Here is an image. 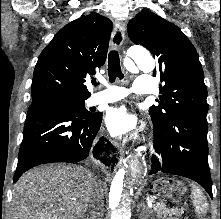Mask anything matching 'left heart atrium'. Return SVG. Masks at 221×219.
<instances>
[{"mask_svg": "<svg viewBox=\"0 0 221 219\" xmlns=\"http://www.w3.org/2000/svg\"><path fill=\"white\" fill-rule=\"evenodd\" d=\"M105 124L113 136L121 137L136 128L137 118L126 106H115L107 110Z\"/></svg>", "mask_w": 221, "mask_h": 219, "instance_id": "39dd6f15", "label": "left heart atrium"}]
</instances>
